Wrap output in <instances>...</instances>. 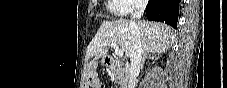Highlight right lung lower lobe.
Masks as SVG:
<instances>
[{
  "mask_svg": "<svg viewBox=\"0 0 227 88\" xmlns=\"http://www.w3.org/2000/svg\"><path fill=\"white\" fill-rule=\"evenodd\" d=\"M179 2L180 0H150L146 7L148 20L165 22L177 28Z\"/></svg>",
  "mask_w": 227,
  "mask_h": 88,
  "instance_id": "98d812e1",
  "label": "right lung lower lobe"
}]
</instances>
